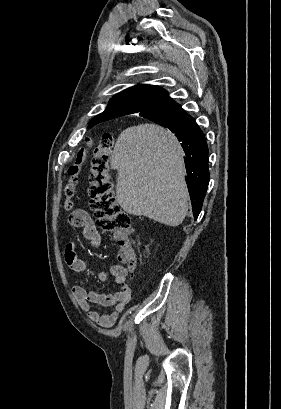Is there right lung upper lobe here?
I'll return each instance as SVG.
<instances>
[{
	"label": "right lung upper lobe",
	"instance_id": "cb5924a9",
	"mask_svg": "<svg viewBox=\"0 0 281 409\" xmlns=\"http://www.w3.org/2000/svg\"><path fill=\"white\" fill-rule=\"evenodd\" d=\"M175 103L168 96L167 91L158 86L136 85L116 94L110 100L106 110L89 122V128L119 116L161 109Z\"/></svg>",
	"mask_w": 281,
	"mask_h": 409
}]
</instances>
